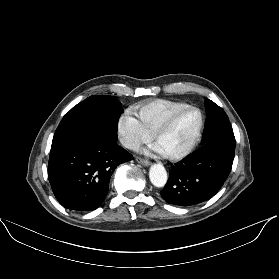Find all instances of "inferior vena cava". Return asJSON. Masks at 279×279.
I'll list each match as a JSON object with an SVG mask.
<instances>
[{
    "label": "inferior vena cava",
    "instance_id": "1",
    "mask_svg": "<svg viewBox=\"0 0 279 279\" xmlns=\"http://www.w3.org/2000/svg\"><path fill=\"white\" fill-rule=\"evenodd\" d=\"M123 145L133 151H139L140 150V144L135 141H124Z\"/></svg>",
    "mask_w": 279,
    "mask_h": 279
}]
</instances>
